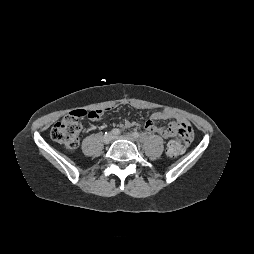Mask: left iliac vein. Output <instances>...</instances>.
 <instances>
[{"mask_svg": "<svg viewBox=\"0 0 254 254\" xmlns=\"http://www.w3.org/2000/svg\"><path fill=\"white\" fill-rule=\"evenodd\" d=\"M120 138L127 139V140H129L131 142L135 141L133 135L130 134V133H127V134H124V135H121V136H115V139H120Z\"/></svg>", "mask_w": 254, "mask_h": 254, "instance_id": "1", "label": "left iliac vein"}]
</instances>
